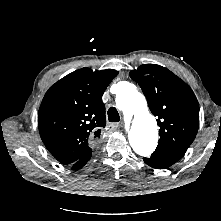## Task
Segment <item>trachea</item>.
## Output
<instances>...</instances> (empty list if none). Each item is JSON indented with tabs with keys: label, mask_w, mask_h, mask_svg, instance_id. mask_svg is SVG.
<instances>
[{
	"label": "trachea",
	"mask_w": 221,
	"mask_h": 221,
	"mask_svg": "<svg viewBox=\"0 0 221 221\" xmlns=\"http://www.w3.org/2000/svg\"><path fill=\"white\" fill-rule=\"evenodd\" d=\"M108 119L110 122H119L120 116L115 107H110L108 110Z\"/></svg>",
	"instance_id": "obj_1"
}]
</instances>
